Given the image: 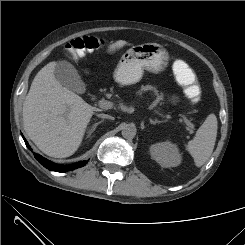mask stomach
<instances>
[{"label":"stomach","mask_w":245,"mask_h":245,"mask_svg":"<svg viewBox=\"0 0 245 245\" xmlns=\"http://www.w3.org/2000/svg\"><path fill=\"white\" fill-rule=\"evenodd\" d=\"M168 60L169 54L160 44L136 45L122 55L113 77L121 85H132L142 79L144 71L155 74L164 71Z\"/></svg>","instance_id":"1"}]
</instances>
